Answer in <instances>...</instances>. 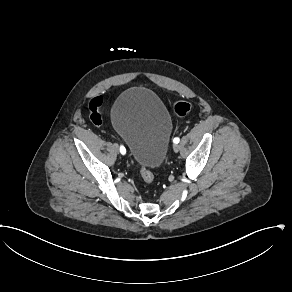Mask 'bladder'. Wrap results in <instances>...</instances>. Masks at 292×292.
Wrapping results in <instances>:
<instances>
[{"mask_svg": "<svg viewBox=\"0 0 292 292\" xmlns=\"http://www.w3.org/2000/svg\"><path fill=\"white\" fill-rule=\"evenodd\" d=\"M110 119L141 167L156 169L164 161L172 119L159 96L145 87H131L114 102Z\"/></svg>", "mask_w": 292, "mask_h": 292, "instance_id": "bladder-1", "label": "bladder"}]
</instances>
